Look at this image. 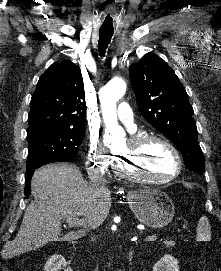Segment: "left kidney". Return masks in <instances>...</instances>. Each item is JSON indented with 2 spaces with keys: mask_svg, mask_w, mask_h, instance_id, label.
Segmentation results:
<instances>
[{
  "mask_svg": "<svg viewBox=\"0 0 221 271\" xmlns=\"http://www.w3.org/2000/svg\"><path fill=\"white\" fill-rule=\"evenodd\" d=\"M152 271H179L178 259H175L173 255H169V253H165V255L153 265Z\"/></svg>",
  "mask_w": 221,
  "mask_h": 271,
  "instance_id": "obj_1",
  "label": "left kidney"
}]
</instances>
